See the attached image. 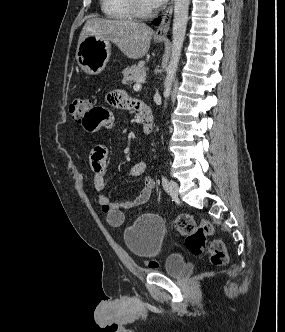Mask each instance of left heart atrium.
<instances>
[{"label": "left heart atrium", "instance_id": "39dd6f15", "mask_svg": "<svg viewBox=\"0 0 285 332\" xmlns=\"http://www.w3.org/2000/svg\"><path fill=\"white\" fill-rule=\"evenodd\" d=\"M148 1L152 7L161 6L162 4H164L166 2V0H148Z\"/></svg>", "mask_w": 285, "mask_h": 332}]
</instances>
